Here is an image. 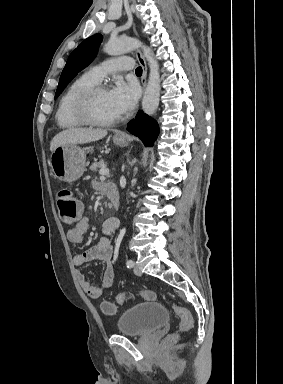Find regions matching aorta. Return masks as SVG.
<instances>
[{"label":"aorta","instance_id":"762f6f07","mask_svg":"<svg viewBox=\"0 0 283 384\" xmlns=\"http://www.w3.org/2000/svg\"><path fill=\"white\" fill-rule=\"evenodd\" d=\"M137 47H141L145 58L150 67L148 84L142 99V109L148 115H152L158 108L160 99V75L159 65L154 59L150 48L142 45L141 42L130 37H121L116 40L109 41L104 50L109 55H120L128 53Z\"/></svg>","mask_w":283,"mask_h":384}]
</instances>
